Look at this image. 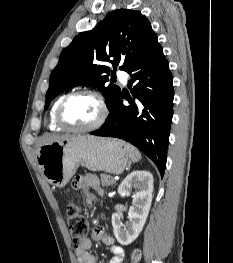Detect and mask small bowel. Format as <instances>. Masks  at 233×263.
I'll use <instances>...</instances> for the list:
<instances>
[{
    "mask_svg": "<svg viewBox=\"0 0 233 263\" xmlns=\"http://www.w3.org/2000/svg\"><path fill=\"white\" fill-rule=\"evenodd\" d=\"M73 188L80 190L85 200L89 205H93L96 201V197L91 192V189L96 190L99 194L102 193L99 179L92 174L77 176L73 180ZM92 239L94 241H101L103 244L109 247L113 257L108 263H124L125 251L116 244L114 237L109 235L107 229L100 225L92 233ZM92 248V240L85 239L81 244L76 246L75 253L78 263H97L96 257L90 252Z\"/></svg>",
    "mask_w": 233,
    "mask_h": 263,
    "instance_id": "1",
    "label": "small bowel"
}]
</instances>
